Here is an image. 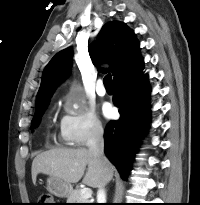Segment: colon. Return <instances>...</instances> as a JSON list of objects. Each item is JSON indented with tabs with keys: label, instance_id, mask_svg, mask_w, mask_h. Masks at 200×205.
<instances>
[{
	"label": "colon",
	"instance_id": "obj_1",
	"mask_svg": "<svg viewBox=\"0 0 200 205\" xmlns=\"http://www.w3.org/2000/svg\"><path fill=\"white\" fill-rule=\"evenodd\" d=\"M38 202V205H53V197L50 194H42Z\"/></svg>",
	"mask_w": 200,
	"mask_h": 205
}]
</instances>
